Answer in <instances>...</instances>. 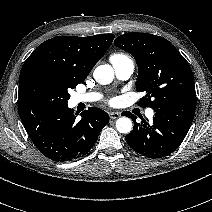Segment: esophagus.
Masks as SVG:
<instances>
[{
  "label": "esophagus",
  "instance_id": "34e87169",
  "mask_svg": "<svg viewBox=\"0 0 212 212\" xmlns=\"http://www.w3.org/2000/svg\"><path fill=\"white\" fill-rule=\"evenodd\" d=\"M109 116H110L111 119L115 120V119L120 117V113H118V112H110Z\"/></svg>",
  "mask_w": 212,
  "mask_h": 212
}]
</instances>
